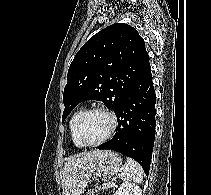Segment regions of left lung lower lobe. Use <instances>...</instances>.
<instances>
[{"mask_svg": "<svg viewBox=\"0 0 211 195\" xmlns=\"http://www.w3.org/2000/svg\"><path fill=\"white\" fill-rule=\"evenodd\" d=\"M155 97L149 64L115 113L118 128L114 137L98 147L132 157L147 175L155 136Z\"/></svg>", "mask_w": 211, "mask_h": 195, "instance_id": "obj_1", "label": "left lung lower lobe"}]
</instances>
